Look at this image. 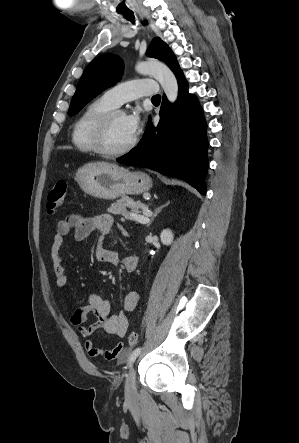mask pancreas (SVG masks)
Listing matches in <instances>:
<instances>
[{
	"label": "pancreas",
	"instance_id": "pancreas-1",
	"mask_svg": "<svg viewBox=\"0 0 299 443\" xmlns=\"http://www.w3.org/2000/svg\"><path fill=\"white\" fill-rule=\"evenodd\" d=\"M141 205L139 203H135L134 200L128 196H123L121 199L117 200L115 203L111 204V206L107 209V211L114 215L121 214L126 219L134 220L130 213H134L139 215ZM127 208H129L131 211L128 212ZM136 223H138L137 220Z\"/></svg>",
	"mask_w": 299,
	"mask_h": 443
}]
</instances>
